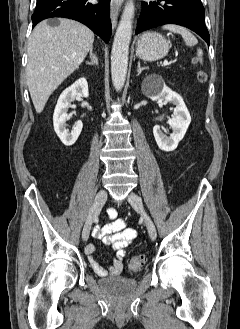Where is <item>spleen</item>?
<instances>
[{
  "instance_id": "spleen-1",
  "label": "spleen",
  "mask_w": 240,
  "mask_h": 329,
  "mask_svg": "<svg viewBox=\"0 0 240 329\" xmlns=\"http://www.w3.org/2000/svg\"><path fill=\"white\" fill-rule=\"evenodd\" d=\"M162 28L166 29V30H169L171 32L180 34L187 46L192 47V46H194L198 43L196 37L189 30H187L186 28H184L182 26L174 25V24H168V25H164ZM202 55H203L202 50L198 49L197 50V56H198L197 59L200 62H202Z\"/></svg>"
}]
</instances>
